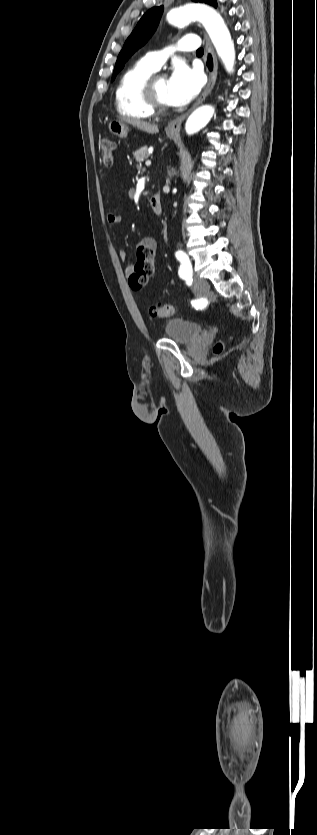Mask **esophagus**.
Returning <instances> with one entry per match:
<instances>
[{
    "mask_svg": "<svg viewBox=\"0 0 317 835\" xmlns=\"http://www.w3.org/2000/svg\"><path fill=\"white\" fill-rule=\"evenodd\" d=\"M204 36H205V42H206V51L212 56V59H213V68H212V71L209 72L208 83H207L206 87L204 88L202 94L197 99V101L193 104V106L187 112L178 116L177 118L172 120L167 125L166 130L168 132L178 133L181 129V124L184 122V120L188 117V115L196 107H198L205 100V98L209 95V93L212 91V89L215 85L216 78H217V67H218L217 58H216V54L214 52V49H213V46L211 44V41H210L209 37L207 36V34H205Z\"/></svg>",
    "mask_w": 317,
    "mask_h": 835,
    "instance_id": "34e87169",
    "label": "esophagus"
}]
</instances>
